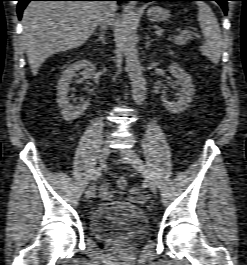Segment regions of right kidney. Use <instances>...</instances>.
<instances>
[{"label":"right kidney","mask_w":247,"mask_h":265,"mask_svg":"<svg viewBox=\"0 0 247 265\" xmlns=\"http://www.w3.org/2000/svg\"><path fill=\"white\" fill-rule=\"evenodd\" d=\"M86 78L91 79L95 74L94 65L88 60H79L69 65L63 72L57 84V102L62 111V116L66 121H72L79 118L90 105V100L87 99L79 105H73L68 98L69 86L72 78L76 76V72Z\"/></svg>","instance_id":"obj_1"}]
</instances>
